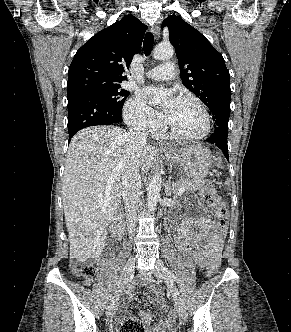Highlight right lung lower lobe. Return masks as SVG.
<instances>
[{"label": "right lung lower lobe", "mask_w": 291, "mask_h": 332, "mask_svg": "<svg viewBox=\"0 0 291 332\" xmlns=\"http://www.w3.org/2000/svg\"><path fill=\"white\" fill-rule=\"evenodd\" d=\"M122 112L101 98L88 93L68 97L69 141L81 129L122 121Z\"/></svg>", "instance_id": "98d812e1"}]
</instances>
